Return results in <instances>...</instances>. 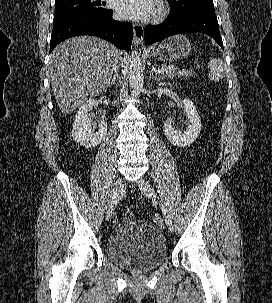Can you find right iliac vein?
<instances>
[{
  "label": "right iliac vein",
  "mask_w": 272,
  "mask_h": 303,
  "mask_svg": "<svg viewBox=\"0 0 272 303\" xmlns=\"http://www.w3.org/2000/svg\"><path fill=\"white\" fill-rule=\"evenodd\" d=\"M122 192H123V182H122L121 177H118L115 182L112 197L110 199V202H109V205H108V208L106 211V220L107 221L111 218L114 208H115Z\"/></svg>",
  "instance_id": "right-iliac-vein-1"
}]
</instances>
